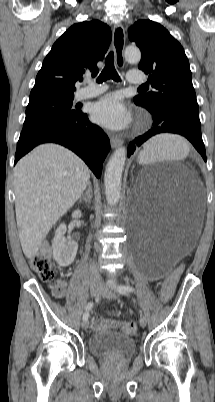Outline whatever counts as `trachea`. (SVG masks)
I'll return each instance as SVG.
<instances>
[{"instance_id":"obj_1","label":"trachea","mask_w":215,"mask_h":402,"mask_svg":"<svg viewBox=\"0 0 215 402\" xmlns=\"http://www.w3.org/2000/svg\"><path fill=\"white\" fill-rule=\"evenodd\" d=\"M108 79H113L114 81H120V77L114 67V53L110 52L105 60V67L99 75L97 82L102 83ZM144 86H140L143 88Z\"/></svg>"}]
</instances>
